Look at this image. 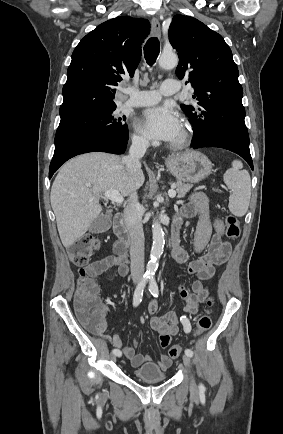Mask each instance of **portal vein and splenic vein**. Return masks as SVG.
<instances>
[{"label": "portal vein and splenic vein", "mask_w": 283, "mask_h": 434, "mask_svg": "<svg viewBox=\"0 0 283 434\" xmlns=\"http://www.w3.org/2000/svg\"><path fill=\"white\" fill-rule=\"evenodd\" d=\"M168 195L170 198H174L176 196V191L174 189H170L168 191ZM104 197L116 204H122V202L124 201L123 196H121L120 193L115 190H109L104 192Z\"/></svg>", "instance_id": "obj_1"}]
</instances>
